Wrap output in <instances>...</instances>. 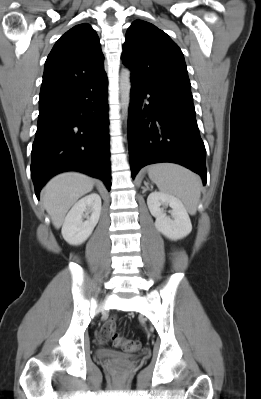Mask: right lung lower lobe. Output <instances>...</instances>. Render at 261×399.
I'll return each mask as SVG.
<instances>
[{
  "instance_id": "right-lung-lower-lobe-1",
  "label": "right lung lower lobe",
  "mask_w": 261,
  "mask_h": 399,
  "mask_svg": "<svg viewBox=\"0 0 261 399\" xmlns=\"http://www.w3.org/2000/svg\"><path fill=\"white\" fill-rule=\"evenodd\" d=\"M106 74L40 98L32 146L31 176L39 199L42 186L63 171H80L111 188Z\"/></svg>"
}]
</instances>
